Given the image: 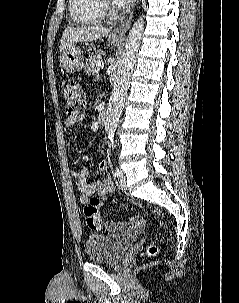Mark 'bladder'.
I'll return each mask as SVG.
<instances>
[{"instance_id":"obj_1","label":"bladder","mask_w":239,"mask_h":303,"mask_svg":"<svg viewBox=\"0 0 239 303\" xmlns=\"http://www.w3.org/2000/svg\"><path fill=\"white\" fill-rule=\"evenodd\" d=\"M136 239L135 233L91 234L85 242L87 258L98 264L116 265Z\"/></svg>"}]
</instances>
